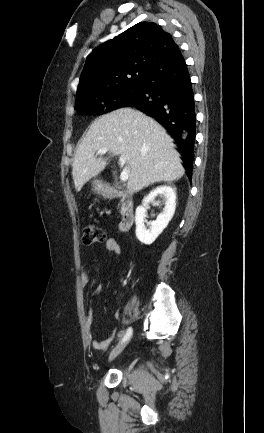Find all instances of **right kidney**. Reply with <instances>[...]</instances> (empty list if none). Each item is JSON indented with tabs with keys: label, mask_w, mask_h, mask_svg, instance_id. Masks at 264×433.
<instances>
[{
	"label": "right kidney",
	"mask_w": 264,
	"mask_h": 433,
	"mask_svg": "<svg viewBox=\"0 0 264 433\" xmlns=\"http://www.w3.org/2000/svg\"><path fill=\"white\" fill-rule=\"evenodd\" d=\"M157 196L163 197L165 201V207L155 221L147 222L145 217L148 204L153 202ZM175 208L176 193L174 188L165 185L159 186L151 191L143 199V205L138 206L136 209L135 222L137 239L146 245L152 244L169 224L175 213ZM146 223L149 225V228L145 226Z\"/></svg>",
	"instance_id": "1"
}]
</instances>
